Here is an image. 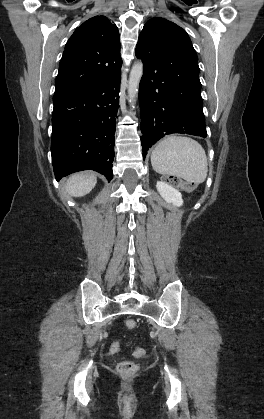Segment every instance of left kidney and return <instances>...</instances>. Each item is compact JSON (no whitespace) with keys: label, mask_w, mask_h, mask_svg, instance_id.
Returning a JSON list of instances; mask_svg holds the SVG:
<instances>
[{"label":"left kidney","mask_w":264,"mask_h":419,"mask_svg":"<svg viewBox=\"0 0 264 419\" xmlns=\"http://www.w3.org/2000/svg\"><path fill=\"white\" fill-rule=\"evenodd\" d=\"M156 188L161 195V197L168 203L173 204L176 207H180L183 205L182 195L179 190L173 188L169 184L158 181L156 184Z\"/></svg>","instance_id":"5707ae66"}]
</instances>
